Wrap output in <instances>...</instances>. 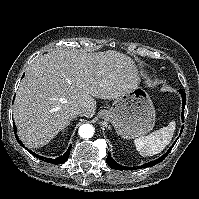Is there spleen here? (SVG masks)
<instances>
[{"label": "spleen", "mask_w": 199, "mask_h": 199, "mask_svg": "<svg viewBox=\"0 0 199 199\" xmlns=\"http://www.w3.org/2000/svg\"><path fill=\"white\" fill-rule=\"evenodd\" d=\"M176 123L171 121L168 126L134 140L137 151L142 156H153L164 150L172 140Z\"/></svg>", "instance_id": "1"}]
</instances>
